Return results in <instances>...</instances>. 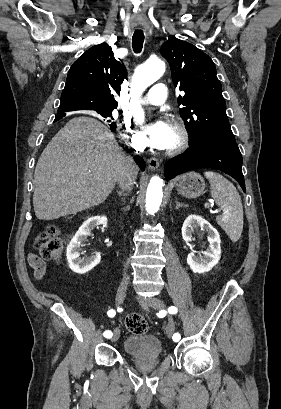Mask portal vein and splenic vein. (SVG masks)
<instances>
[{"label":"portal vein and splenic vein","instance_id":"18ae733b","mask_svg":"<svg viewBox=\"0 0 281 409\" xmlns=\"http://www.w3.org/2000/svg\"><path fill=\"white\" fill-rule=\"evenodd\" d=\"M206 200H212V198H211V197H207ZM215 213H216V214H220V213H221V210H220V209H216V210H215Z\"/></svg>","mask_w":281,"mask_h":409}]
</instances>
